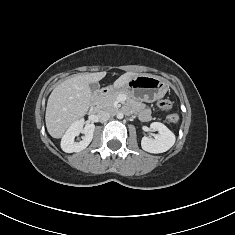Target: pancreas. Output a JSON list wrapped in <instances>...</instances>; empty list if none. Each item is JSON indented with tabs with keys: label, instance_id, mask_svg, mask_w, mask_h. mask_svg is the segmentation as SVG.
Listing matches in <instances>:
<instances>
[{
	"label": "pancreas",
	"instance_id": "1",
	"mask_svg": "<svg viewBox=\"0 0 235 235\" xmlns=\"http://www.w3.org/2000/svg\"><path fill=\"white\" fill-rule=\"evenodd\" d=\"M120 95L128 97V94L123 91H111L107 93L106 95H99L97 98L98 105L102 108H106L109 110H115L118 105V97ZM130 104H132L135 107H140L141 104L137 103L131 99L128 100Z\"/></svg>",
	"mask_w": 235,
	"mask_h": 235
}]
</instances>
